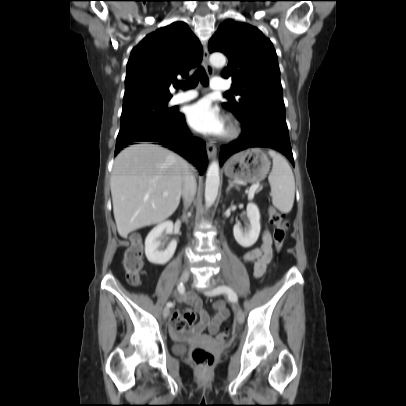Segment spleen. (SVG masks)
Listing matches in <instances>:
<instances>
[{"mask_svg":"<svg viewBox=\"0 0 406 406\" xmlns=\"http://www.w3.org/2000/svg\"><path fill=\"white\" fill-rule=\"evenodd\" d=\"M273 166L268 177L273 205L283 213H289L295 198V179L287 161L278 153L269 150Z\"/></svg>","mask_w":406,"mask_h":406,"instance_id":"1","label":"spleen"}]
</instances>
